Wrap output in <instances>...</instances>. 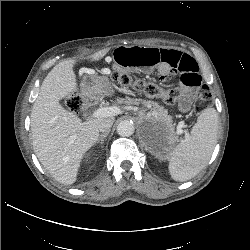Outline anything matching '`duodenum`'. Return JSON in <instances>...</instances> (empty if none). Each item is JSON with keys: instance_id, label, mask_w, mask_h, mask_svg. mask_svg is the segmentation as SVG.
<instances>
[{"instance_id": "410a0bca", "label": "duodenum", "mask_w": 250, "mask_h": 250, "mask_svg": "<svg viewBox=\"0 0 250 250\" xmlns=\"http://www.w3.org/2000/svg\"><path fill=\"white\" fill-rule=\"evenodd\" d=\"M94 103H95V100H94V99H89V100H87V102H86V106H87V107H91V106H93Z\"/></svg>"}]
</instances>
